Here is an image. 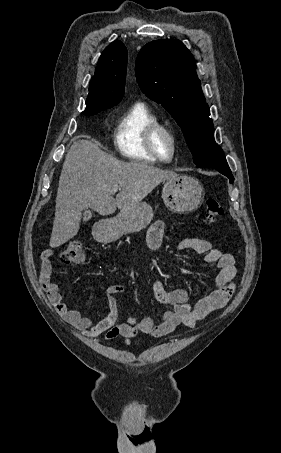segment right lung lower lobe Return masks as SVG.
<instances>
[{
    "instance_id": "obj_1",
    "label": "right lung lower lobe",
    "mask_w": 281,
    "mask_h": 453,
    "mask_svg": "<svg viewBox=\"0 0 281 453\" xmlns=\"http://www.w3.org/2000/svg\"><path fill=\"white\" fill-rule=\"evenodd\" d=\"M85 115H94V114H89V113H84Z\"/></svg>"
}]
</instances>
